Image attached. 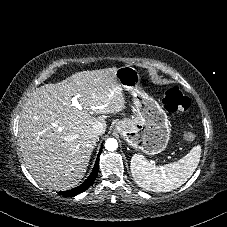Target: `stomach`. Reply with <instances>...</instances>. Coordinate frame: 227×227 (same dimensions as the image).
Wrapping results in <instances>:
<instances>
[{"mask_svg": "<svg viewBox=\"0 0 227 227\" xmlns=\"http://www.w3.org/2000/svg\"><path fill=\"white\" fill-rule=\"evenodd\" d=\"M116 78L133 96L136 116L116 122L115 130L134 149L148 155L161 153L170 139V121L161 105L141 89L137 68L126 65L117 69Z\"/></svg>", "mask_w": 227, "mask_h": 227, "instance_id": "obj_1", "label": "stomach"}]
</instances>
